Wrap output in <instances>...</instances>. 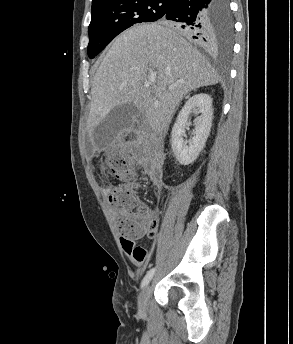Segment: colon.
Returning <instances> with one entry per match:
<instances>
[{"instance_id":"5ec220e1","label":"colon","mask_w":293,"mask_h":344,"mask_svg":"<svg viewBox=\"0 0 293 344\" xmlns=\"http://www.w3.org/2000/svg\"><path fill=\"white\" fill-rule=\"evenodd\" d=\"M105 162L112 174L124 181V184L113 188L109 196L120 232L131 239L144 235L154 237L157 223L150 210L135 196L138 184L135 182L134 165L118 151L108 152Z\"/></svg>"}]
</instances>
